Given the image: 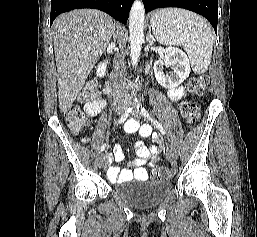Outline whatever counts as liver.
Returning a JSON list of instances; mask_svg holds the SVG:
<instances>
[{"mask_svg": "<svg viewBox=\"0 0 257 237\" xmlns=\"http://www.w3.org/2000/svg\"><path fill=\"white\" fill-rule=\"evenodd\" d=\"M115 32L113 19L94 9L74 10L53 23L59 108L66 113Z\"/></svg>", "mask_w": 257, "mask_h": 237, "instance_id": "1", "label": "liver"}]
</instances>
